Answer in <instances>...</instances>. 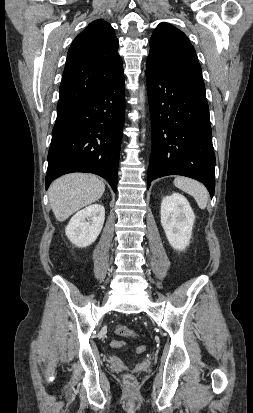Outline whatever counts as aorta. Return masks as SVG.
Returning a JSON list of instances; mask_svg holds the SVG:
<instances>
[{
	"mask_svg": "<svg viewBox=\"0 0 253 413\" xmlns=\"http://www.w3.org/2000/svg\"><path fill=\"white\" fill-rule=\"evenodd\" d=\"M139 99H140L141 106L143 107V106H144V102H145V94H144V90H143V89H141L140 92H139Z\"/></svg>",
	"mask_w": 253,
	"mask_h": 413,
	"instance_id": "762f6f07",
	"label": "aorta"
}]
</instances>
